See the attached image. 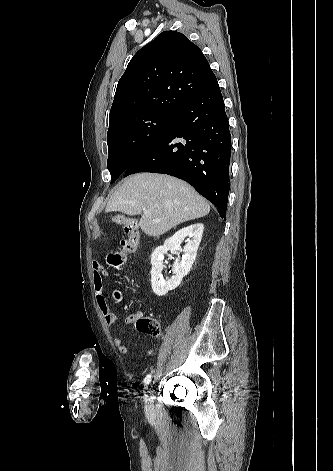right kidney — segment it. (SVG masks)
Wrapping results in <instances>:
<instances>
[{"label":"right kidney","mask_w":333,"mask_h":471,"mask_svg":"<svg viewBox=\"0 0 333 471\" xmlns=\"http://www.w3.org/2000/svg\"><path fill=\"white\" fill-rule=\"evenodd\" d=\"M204 226L201 223L192 224L182 228L173 236L168 238L163 246L157 247L151 256V286L157 296H164L168 291L177 288L183 277H185L195 261L197 249L201 242ZM186 240L187 244L181 248V242ZM168 250L183 251L182 260L179 258L173 264L174 275L169 280H164L161 274L163 269L164 255Z\"/></svg>","instance_id":"1"}]
</instances>
